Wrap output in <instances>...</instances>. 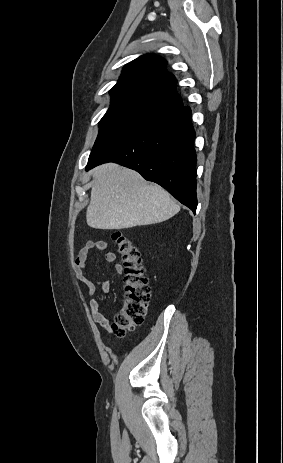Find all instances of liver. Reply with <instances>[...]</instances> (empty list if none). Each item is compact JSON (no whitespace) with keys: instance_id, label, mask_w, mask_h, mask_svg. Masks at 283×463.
<instances>
[{"instance_id":"liver-1","label":"liver","mask_w":283,"mask_h":463,"mask_svg":"<svg viewBox=\"0 0 283 463\" xmlns=\"http://www.w3.org/2000/svg\"><path fill=\"white\" fill-rule=\"evenodd\" d=\"M91 200L86 211L88 226L120 230L166 221L180 211L162 187L140 175L109 163L92 172Z\"/></svg>"}]
</instances>
